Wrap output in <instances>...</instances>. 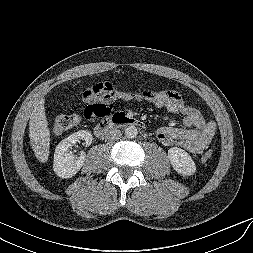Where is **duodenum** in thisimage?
<instances>
[{"instance_id":"duodenum-1","label":"duodenum","mask_w":253,"mask_h":253,"mask_svg":"<svg viewBox=\"0 0 253 253\" xmlns=\"http://www.w3.org/2000/svg\"><path fill=\"white\" fill-rule=\"evenodd\" d=\"M116 126H136L144 127V123L125 113H115L111 117L101 121L94 127V133L98 137H105Z\"/></svg>"}]
</instances>
